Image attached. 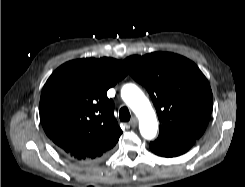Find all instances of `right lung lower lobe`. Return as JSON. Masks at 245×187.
I'll list each match as a JSON object with an SVG mask.
<instances>
[{
    "mask_svg": "<svg viewBox=\"0 0 245 187\" xmlns=\"http://www.w3.org/2000/svg\"><path fill=\"white\" fill-rule=\"evenodd\" d=\"M60 151V150H59ZM61 152V151H60ZM65 157H67L63 152H61ZM68 158V157H67ZM68 159H70L71 161H73V162H76V163H79V164H88V163H90V162H88V161H82V160H73V159H71V158H68Z\"/></svg>",
    "mask_w": 245,
    "mask_h": 187,
    "instance_id": "1",
    "label": "right lung lower lobe"
}]
</instances>
